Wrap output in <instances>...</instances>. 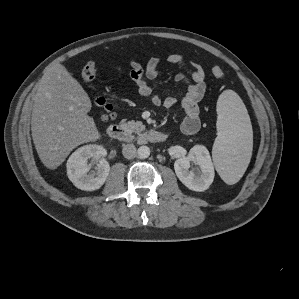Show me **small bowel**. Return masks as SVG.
<instances>
[{
    "mask_svg": "<svg viewBox=\"0 0 299 299\" xmlns=\"http://www.w3.org/2000/svg\"><path fill=\"white\" fill-rule=\"evenodd\" d=\"M167 61L188 69V75L179 73L175 77L176 82H184L187 85L186 94L180 99L179 103L183 111V120L181 129L185 134L191 135L196 133L200 128L199 119V102L203 99L206 92V75L202 66L196 62H188L185 57L179 53H171L167 57ZM160 58L152 57L148 60L145 67L138 61L130 62L129 76L135 83L139 94L150 100L155 106H164L167 109L173 108L178 100L175 97L162 98L153 93L149 84L158 75ZM117 72L122 73L120 68Z\"/></svg>",
    "mask_w": 299,
    "mask_h": 299,
    "instance_id": "c3829d8e",
    "label": "small bowel"
}]
</instances>
